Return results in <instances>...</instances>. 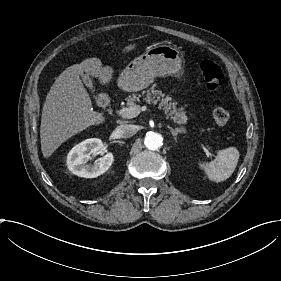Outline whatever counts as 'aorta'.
Listing matches in <instances>:
<instances>
[{"label": "aorta", "mask_w": 281, "mask_h": 281, "mask_svg": "<svg viewBox=\"0 0 281 281\" xmlns=\"http://www.w3.org/2000/svg\"><path fill=\"white\" fill-rule=\"evenodd\" d=\"M144 144L149 150H158L163 144V138L158 133L150 132L146 134Z\"/></svg>", "instance_id": "1"}]
</instances>
